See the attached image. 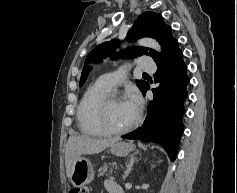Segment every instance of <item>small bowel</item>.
I'll use <instances>...</instances> for the list:
<instances>
[{"label": "small bowel", "instance_id": "small-bowel-1", "mask_svg": "<svg viewBox=\"0 0 237 193\" xmlns=\"http://www.w3.org/2000/svg\"><path fill=\"white\" fill-rule=\"evenodd\" d=\"M105 186L110 193H122L119 186L114 181H106Z\"/></svg>", "mask_w": 237, "mask_h": 193}]
</instances>
